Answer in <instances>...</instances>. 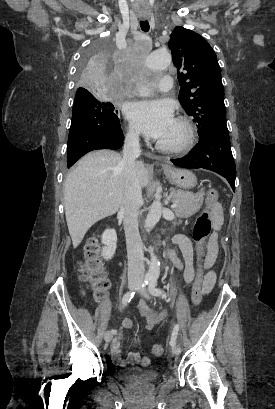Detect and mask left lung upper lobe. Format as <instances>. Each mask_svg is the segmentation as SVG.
<instances>
[{"label":"left lung upper lobe","instance_id":"left-lung-upper-lobe-1","mask_svg":"<svg viewBox=\"0 0 275 409\" xmlns=\"http://www.w3.org/2000/svg\"><path fill=\"white\" fill-rule=\"evenodd\" d=\"M168 46L178 70L179 101L198 123L199 136L228 130L221 69L209 43L194 31L176 26Z\"/></svg>","mask_w":275,"mask_h":409}]
</instances>
